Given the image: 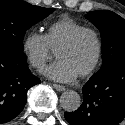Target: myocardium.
Segmentation results:
<instances>
[{"mask_svg": "<svg viewBox=\"0 0 125 125\" xmlns=\"http://www.w3.org/2000/svg\"><path fill=\"white\" fill-rule=\"evenodd\" d=\"M86 33H90L94 36L95 40H96V44H97V51H96V55L95 58L92 62V64L81 74L77 75L80 78H86L90 75H92L97 66L99 65L101 56H102V40L101 37L99 35V33L93 29V28H83L77 32H75L73 35H71L68 40H66L57 50H56V54L59 51L62 50H67L69 48H71L76 42L77 40L84 34Z\"/></svg>", "mask_w": 125, "mask_h": 125, "instance_id": "f54148a6", "label": "myocardium"}]
</instances>
